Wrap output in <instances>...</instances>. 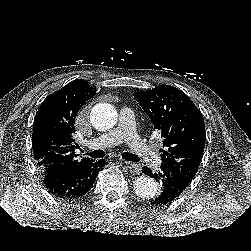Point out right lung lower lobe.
I'll return each mask as SVG.
<instances>
[{
  "instance_id": "right-lung-lower-lobe-1",
  "label": "right lung lower lobe",
  "mask_w": 251,
  "mask_h": 251,
  "mask_svg": "<svg viewBox=\"0 0 251 251\" xmlns=\"http://www.w3.org/2000/svg\"><path fill=\"white\" fill-rule=\"evenodd\" d=\"M106 165L101 159L80 166L66 168L44 177V184L54 195L60 197H79L88 192L100 169Z\"/></svg>"
}]
</instances>
